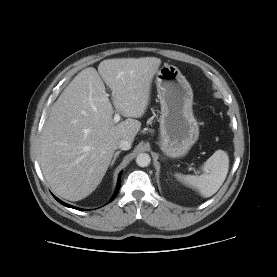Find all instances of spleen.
<instances>
[{"label": "spleen", "instance_id": "obj_1", "mask_svg": "<svg viewBox=\"0 0 277 277\" xmlns=\"http://www.w3.org/2000/svg\"><path fill=\"white\" fill-rule=\"evenodd\" d=\"M204 174L181 175L177 178L188 186L196 188L203 197L214 195L224 183L229 169V157L223 150H217L204 163Z\"/></svg>", "mask_w": 277, "mask_h": 277}]
</instances>
